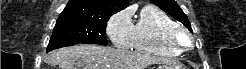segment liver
Instances as JSON below:
<instances>
[{
	"label": "liver",
	"instance_id": "liver-1",
	"mask_svg": "<svg viewBox=\"0 0 246 69\" xmlns=\"http://www.w3.org/2000/svg\"><path fill=\"white\" fill-rule=\"evenodd\" d=\"M51 61L60 69H144L155 63H170L150 55L91 44L61 48L52 54Z\"/></svg>",
	"mask_w": 246,
	"mask_h": 69
}]
</instances>
